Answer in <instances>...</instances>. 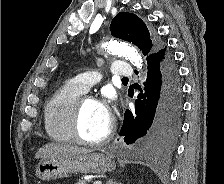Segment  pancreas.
Masks as SVG:
<instances>
[{
  "label": "pancreas",
  "instance_id": "obj_1",
  "mask_svg": "<svg viewBox=\"0 0 224 184\" xmlns=\"http://www.w3.org/2000/svg\"><path fill=\"white\" fill-rule=\"evenodd\" d=\"M76 184H87V181L84 179H79Z\"/></svg>",
  "mask_w": 224,
  "mask_h": 184
}]
</instances>
